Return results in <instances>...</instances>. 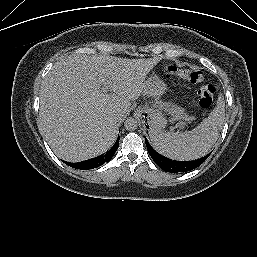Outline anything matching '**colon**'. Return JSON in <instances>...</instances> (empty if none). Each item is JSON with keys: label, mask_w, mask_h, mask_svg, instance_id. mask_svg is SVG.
Instances as JSON below:
<instances>
[{"label": "colon", "mask_w": 257, "mask_h": 257, "mask_svg": "<svg viewBox=\"0 0 257 257\" xmlns=\"http://www.w3.org/2000/svg\"><path fill=\"white\" fill-rule=\"evenodd\" d=\"M164 75L168 78L180 77L194 84H201L198 90L199 106L208 109L212 106L216 94V85L212 81H207L201 71L180 69L169 65L164 69Z\"/></svg>", "instance_id": "colon-1"}]
</instances>
